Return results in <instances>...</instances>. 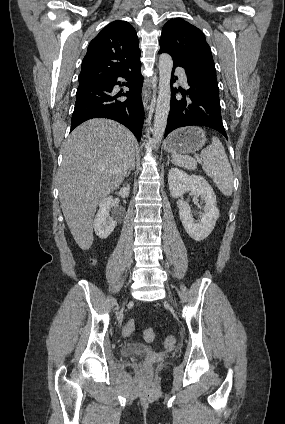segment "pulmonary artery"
I'll return each mask as SVG.
<instances>
[{
	"mask_svg": "<svg viewBox=\"0 0 285 424\" xmlns=\"http://www.w3.org/2000/svg\"><path fill=\"white\" fill-rule=\"evenodd\" d=\"M176 71H177V73L179 74V76H180V80H181V82L183 83V84H186L187 83V81H186V77H185V75H184V70H183V68H181V67H177L176 68Z\"/></svg>",
	"mask_w": 285,
	"mask_h": 424,
	"instance_id": "obj_1",
	"label": "pulmonary artery"
}]
</instances>
